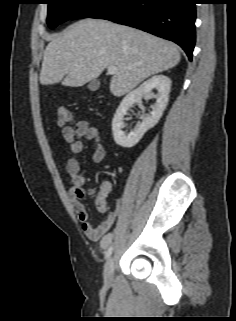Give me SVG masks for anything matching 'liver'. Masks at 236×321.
<instances>
[{
    "instance_id": "1",
    "label": "liver",
    "mask_w": 236,
    "mask_h": 321,
    "mask_svg": "<svg viewBox=\"0 0 236 321\" xmlns=\"http://www.w3.org/2000/svg\"><path fill=\"white\" fill-rule=\"evenodd\" d=\"M181 59L173 43L144 31L102 19H84L50 38L40 82L81 87L116 66L114 96L131 92L144 79L175 67Z\"/></svg>"
}]
</instances>
